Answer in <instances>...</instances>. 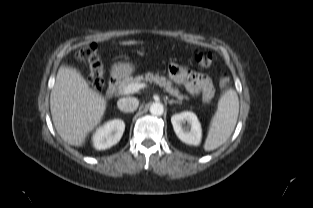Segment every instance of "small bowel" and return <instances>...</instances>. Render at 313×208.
I'll use <instances>...</instances> for the list:
<instances>
[{
	"instance_id": "small-bowel-1",
	"label": "small bowel",
	"mask_w": 313,
	"mask_h": 208,
	"mask_svg": "<svg viewBox=\"0 0 313 208\" xmlns=\"http://www.w3.org/2000/svg\"><path fill=\"white\" fill-rule=\"evenodd\" d=\"M171 79L185 87L192 95L201 94L204 101H210L214 96V87L211 79L201 73L186 69L178 64L169 66Z\"/></svg>"
}]
</instances>
